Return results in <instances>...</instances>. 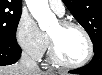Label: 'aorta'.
Masks as SVG:
<instances>
[{
	"label": "aorta",
	"instance_id": "1",
	"mask_svg": "<svg viewBox=\"0 0 102 75\" xmlns=\"http://www.w3.org/2000/svg\"><path fill=\"white\" fill-rule=\"evenodd\" d=\"M26 4L41 30H47L57 22L56 16L49 8L48 0H26Z\"/></svg>",
	"mask_w": 102,
	"mask_h": 75
}]
</instances>
